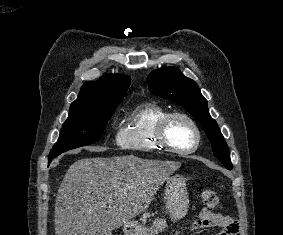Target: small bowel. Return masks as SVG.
<instances>
[{"label":"small bowel","instance_id":"1","mask_svg":"<svg viewBox=\"0 0 283 235\" xmlns=\"http://www.w3.org/2000/svg\"><path fill=\"white\" fill-rule=\"evenodd\" d=\"M207 227L219 228L218 235H237L239 223L233 217L214 214L208 209H203L200 212L199 218L190 228L191 230H199Z\"/></svg>","mask_w":283,"mask_h":235}]
</instances>
